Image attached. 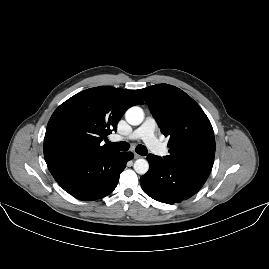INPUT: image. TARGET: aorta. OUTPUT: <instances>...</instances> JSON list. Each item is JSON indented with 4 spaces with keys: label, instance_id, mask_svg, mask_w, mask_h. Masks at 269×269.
<instances>
[{
    "label": "aorta",
    "instance_id": "1",
    "mask_svg": "<svg viewBox=\"0 0 269 269\" xmlns=\"http://www.w3.org/2000/svg\"><path fill=\"white\" fill-rule=\"evenodd\" d=\"M125 118L130 125L138 126L144 120V112L142 108L135 106L126 111ZM133 167L138 174H145L149 169V164L145 159H137Z\"/></svg>",
    "mask_w": 269,
    "mask_h": 269
}]
</instances>
